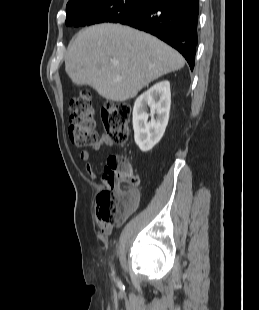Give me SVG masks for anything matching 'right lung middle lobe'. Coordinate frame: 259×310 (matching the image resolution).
<instances>
[{
    "label": "right lung middle lobe",
    "mask_w": 259,
    "mask_h": 310,
    "mask_svg": "<svg viewBox=\"0 0 259 310\" xmlns=\"http://www.w3.org/2000/svg\"><path fill=\"white\" fill-rule=\"evenodd\" d=\"M150 0H101L66 9V25L85 26L102 22L117 23L144 8Z\"/></svg>",
    "instance_id": "1"
}]
</instances>
